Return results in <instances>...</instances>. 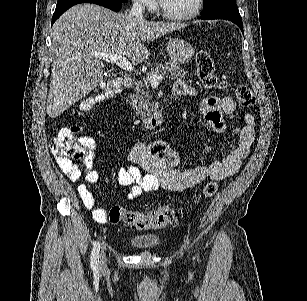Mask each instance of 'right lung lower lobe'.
<instances>
[{"instance_id": "98d812e1", "label": "right lung lower lobe", "mask_w": 307, "mask_h": 301, "mask_svg": "<svg viewBox=\"0 0 307 301\" xmlns=\"http://www.w3.org/2000/svg\"><path fill=\"white\" fill-rule=\"evenodd\" d=\"M79 3H93L109 8L115 12H118L122 8V3L120 0H71L65 3L57 4L55 12L52 17L53 23L70 7Z\"/></svg>"}]
</instances>
